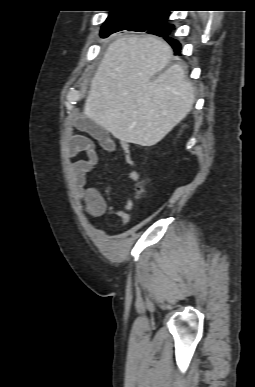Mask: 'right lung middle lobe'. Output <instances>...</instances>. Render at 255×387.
I'll return each mask as SVG.
<instances>
[{
  "mask_svg": "<svg viewBox=\"0 0 255 387\" xmlns=\"http://www.w3.org/2000/svg\"><path fill=\"white\" fill-rule=\"evenodd\" d=\"M168 11L157 12H127L120 14H110L101 29L103 38L112 33L121 30L133 31H150L157 34L169 32L174 28L173 25L168 26Z\"/></svg>",
  "mask_w": 255,
  "mask_h": 387,
  "instance_id": "obj_1",
  "label": "right lung middle lobe"
}]
</instances>
